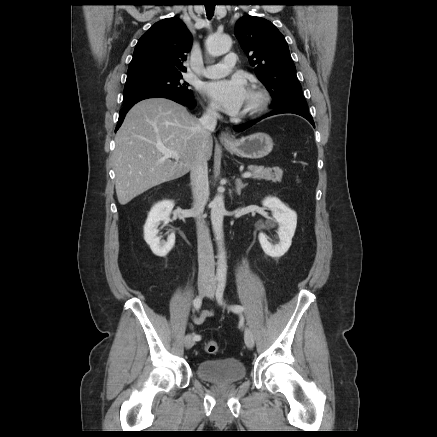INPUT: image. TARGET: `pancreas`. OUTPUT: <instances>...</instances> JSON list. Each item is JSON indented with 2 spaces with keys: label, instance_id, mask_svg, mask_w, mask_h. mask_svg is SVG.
Returning a JSON list of instances; mask_svg holds the SVG:
<instances>
[{
  "label": "pancreas",
  "instance_id": "1",
  "mask_svg": "<svg viewBox=\"0 0 437 437\" xmlns=\"http://www.w3.org/2000/svg\"><path fill=\"white\" fill-rule=\"evenodd\" d=\"M248 170L252 172V178L258 180L281 182L283 176V171L279 167L264 168L263 166L250 165Z\"/></svg>",
  "mask_w": 437,
  "mask_h": 437
}]
</instances>
